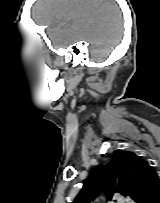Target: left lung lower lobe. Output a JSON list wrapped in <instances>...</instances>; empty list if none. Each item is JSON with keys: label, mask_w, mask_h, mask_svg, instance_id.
Here are the masks:
<instances>
[{"label": "left lung lower lobe", "mask_w": 160, "mask_h": 203, "mask_svg": "<svg viewBox=\"0 0 160 203\" xmlns=\"http://www.w3.org/2000/svg\"><path fill=\"white\" fill-rule=\"evenodd\" d=\"M149 203H160V180L158 181Z\"/></svg>", "instance_id": "obj_1"}]
</instances>
